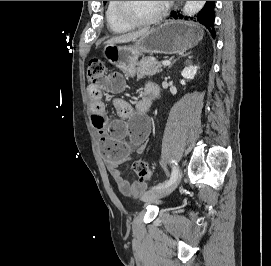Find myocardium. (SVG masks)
<instances>
[{
  "instance_id": "f54148a6",
  "label": "myocardium",
  "mask_w": 271,
  "mask_h": 266,
  "mask_svg": "<svg viewBox=\"0 0 271 266\" xmlns=\"http://www.w3.org/2000/svg\"><path fill=\"white\" fill-rule=\"evenodd\" d=\"M125 3L126 1H116V13L118 17L126 24L132 26V27H137V26H148L155 24L159 22L166 14L167 11V5L165 1H162V6L161 9L157 14L154 16L145 19V20H140L137 19L131 15H129L125 9Z\"/></svg>"
}]
</instances>
